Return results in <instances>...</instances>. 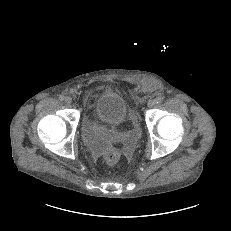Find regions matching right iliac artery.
<instances>
[{"mask_svg":"<svg viewBox=\"0 0 231 231\" xmlns=\"http://www.w3.org/2000/svg\"><path fill=\"white\" fill-rule=\"evenodd\" d=\"M59 99L62 101V100L65 99V97H64L63 95H60V96H59Z\"/></svg>","mask_w":231,"mask_h":231,"instance_id":"82829eb1","label":"right iliac artery"}]
</instances>
